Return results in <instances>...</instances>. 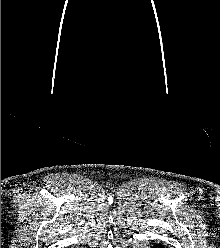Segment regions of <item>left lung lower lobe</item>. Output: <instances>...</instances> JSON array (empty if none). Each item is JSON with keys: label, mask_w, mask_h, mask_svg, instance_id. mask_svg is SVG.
I'll list each match as a JSON object with an SVG mask.
<instances>
[{"label": "left lung lower lobe", "mask_w": 220, "mask_h": 248, "mask_svg": "<svg viewBox=\"0 0 220 248\" xmlns=\"http://www.w3.org/2000/svg\"><path fill=\"white\" fill-rule=\"evenodd\" d=\"M153 247H154V248H164V247L162 246V244H161V243L156 244V245H154Z\"/></svg>", "instance_id": "0a47b994"}]
</instances>
